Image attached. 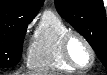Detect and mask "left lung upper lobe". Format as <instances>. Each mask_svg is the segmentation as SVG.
I'll list each match as a JSON object with an SVG mask.
<instances>
[{
	"label": "left lung upper lobe",
	"instance_id": "obj_1",
	"mask_svg": "<svg viewBox=\"0 0 107 75\" xmlns=\"http://www.w3.org/2000/svg\"><path fill=\"white\" fill-rule=\"evenodd\" d=\"M58 13L92 46L107 68L106 13L102 0H54Z\"/></svg>",
	"mask_w": 107,
	"mask_h": 75
}]
</instances>
